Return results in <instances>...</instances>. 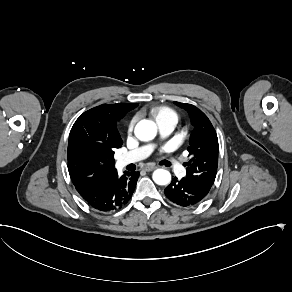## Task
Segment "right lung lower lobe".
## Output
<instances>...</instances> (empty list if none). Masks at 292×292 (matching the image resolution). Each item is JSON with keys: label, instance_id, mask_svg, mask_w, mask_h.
I'll return each mask as SVG.
<instances>
[{"label": "right lung lower lobe", "instance_id": "98d812e1", "mask_svg": "<svg viewBox=\"0 0 292 292\" xmlns=\"http://www.w3.org/2000/svg\"><path fill=\"white\" fill-rule=\"evenodd\" d=\"M139 172H124L101 178H74L72 182L80 196L94 209L109 212L122 208L131 199Z\"/></svg>", "mask_w": 292, "mask_h": 292}]
</instances>
